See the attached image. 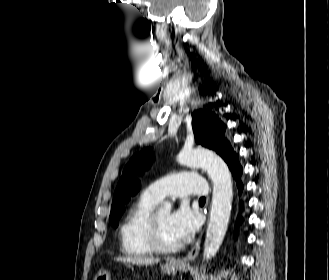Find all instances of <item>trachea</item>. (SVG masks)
<instances>
[{
	"label": "trachea",
	"instance_id": "3493384b",
	"mask_svg": "<svg viewBox=\"0 0 329 280\" xmlns=\"http://www.w3.org/2000/svg\"><path fill=\"white\" fill-rule=\"evenodd\" d=\"M205 201H206L205 197L200 198V202H205Z\"/></svg>",
	"mask_w": 329,
	"mask_h": 280
}]
</instances>
